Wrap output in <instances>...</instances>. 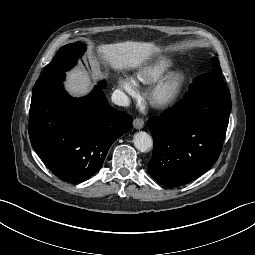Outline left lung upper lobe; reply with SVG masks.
I'll list each match as a JSON object with an SVG mask.
<instances>
[{
	"instance_id": "1",
	"label": "left lung upper lobe",
	"mask_w": 255,
	"mask_h": 255,
	"mask_svg": "<svg viewBox=\"0 0 255 255\" xmlns=\"http://www.w3.org/2000/svg\"><path fill=\"white\" fill-rule=\"evenodd\" d=\"M212 65H213L214 71L218 74H221V67L219 65L218 58L216 57L213 58Z\"/></svg>"
}]
</instances>
